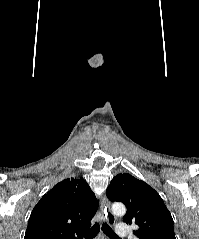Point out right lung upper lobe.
<instances>
[{"instance_id":"1","label":"right lung upper lobe","mask_w":199,"mask_h":239,"mask_svg":"<svg viewBox=\"0 0 199 239\" xmlns=\"http://www.w3.org/2000/svg\"><path fill=\"white\" fill-rule=\"evenodd\" d=\"M95 194L83 178L56 184L34 207L24 239H82L97 208Z\"/></svg>"}]
</instances>
